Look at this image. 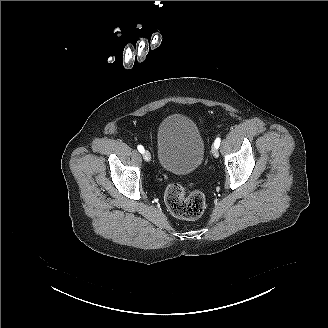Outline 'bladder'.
<instances>
[{
  "mask_svg": "<svg viewBox=\"0 0 328 328\" xmlns=\"http://www.w3.org/2000/svg\"><path fill=\"white\" fill-rule=\"evenodd\" d=\"M158 160L176 174L193 172L201 163L205 148L197 124L182 114L163 119L157 134Z\"/></svg>",
  "mask_w": 328,
  "mask_h": 328,
  "instance_id": "1",
  "label": "bladder"
}]
</instances>
